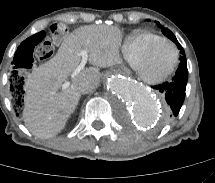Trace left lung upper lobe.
<instances>
[{"instance_id": "left-lung-upper-lobe-1", "label": "left lung upper lobe", "mask_w": 215, "mask_h": 183, "mask_svg": "<svg viewBox=\"0 0 215 183\" xmlns=\"http://www.w3.org/2000/svg\"><path fill=\"white\" fill-rule=\"evenodd\" d=\"M158 24V26L161 28L162 33L167 36L169 39H171L178 47V49L180 50L181 56H180V60L185 59V53L184 50L182 48V46L179 44V42L177 41L176 37L174 36V34L167 28L162 27L161 24H159L158 22H156Z\"/></svg>"}]
</instances>
